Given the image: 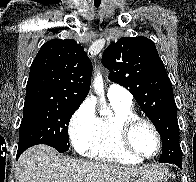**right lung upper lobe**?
<instances>
[{"label":"right lung upper lobe","mask_w":196,"mask_h":182,"mask_svg":"<svg viewBox=\"0 0 196 182\" xmlns=\"http://www.w3.org/2000/svg\"><path fill=\"white\" fill-rule=\"evenodd\" d=\"M92 63L71 39H53L40 48L26 86L24 108L80 106L89 92Z\"/></svg>","instance_id":"1"}]
</instances>
